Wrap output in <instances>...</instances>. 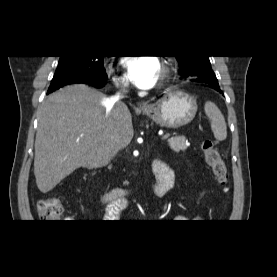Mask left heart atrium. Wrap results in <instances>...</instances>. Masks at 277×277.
<instances>
[{"instance_id": "left-heart-atrium-1", "label": "left heart atrium", "mask_w": 277, "mask_h": 277, "mask_svg": "<svg viewBox=\"0 0 277 277\" xmlns=\"http://www.w3.org/2000/svg\"><path fill=\"white\" fill-rule=\"evenodd\" d=\"M131 81L139 88L155 85L160 72L159 61L154 57H129L124 60Z\"/></svg>"}]
</instances>
